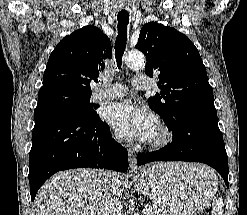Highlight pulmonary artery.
I'll return each mask as SVG.
<instances>
[{
	"label": "pulmonary artery",
	"mask_w": 247,
	"mask_h": 215,
	"mask_svg": "<svg viewBox=\"0 0 247 215\" xmlns=\"http://www.w3.org/2000/svg\"><path fill=\"white\" fill-rule=\"evenodd\" d=\"M133 86L138 90L149 89L151 79L146 75H138L132 79ZM127 87L122 84H104L94 95L95 100H108L126 95Z\"/></svg>",
	"instance_id": "pulmonary-artery-1"
}]
</instances>
